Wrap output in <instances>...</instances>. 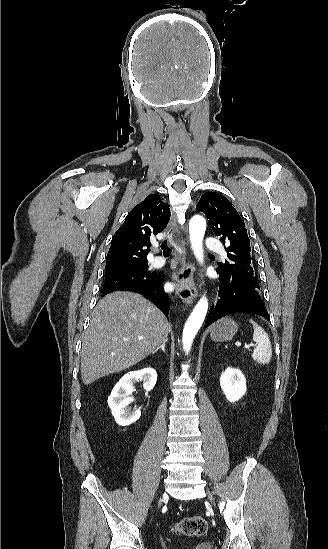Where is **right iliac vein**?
I'll use <instances>...</instances> for the list:
<instances>
[{"label":"right iliac vein","mask_w":328,"mask_h":549,"mask_svg":"<svg viewBox=\"0 0 328 549\" xmlns=\"http://www.w3.org/2000/svg\"><path fill=\"white\" fill-rule=\"evenodd\" d=\"M164 497H165V494H162V497L160 498V503H159V507H158V508L161 507V501H162V499H163Z\"/></svg>","instance_id":"obj_1"}]
</instances>
